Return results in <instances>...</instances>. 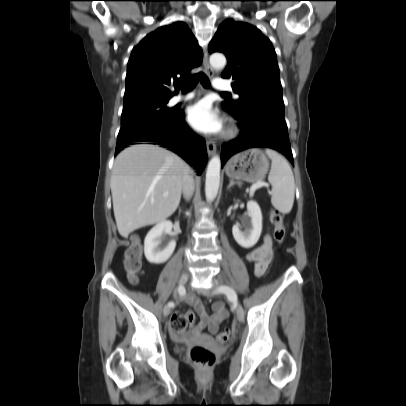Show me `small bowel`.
<instances>
[{
    "instance_id": "c3829d8e",
    "label": "small bowel",
    "mask_w": 406,
    "mask_h": 406,
    "mask_svg": "<svg viewBox=\"0 0 406 406\" xmlns=\"http://www.w3.org/2000/svg\"><path fill=\"white\" fill-rule=\"evenodd\" d=\"M273 257L272 240L268 234L263 237L260 246L249 251L245 255V259L254 262V274L256 277H262ZM185 301L193 306L199 314L200 321L193 330V334L199 335L203 329L207 328L210 334H215L218 331L219 325L227 318V310L221 301H216L212 305L213 315L210 316L208 310L203 303L193 294H188ZM172 331L174 336H178L180 332Z\"/></svg>"
}]
</instances>
